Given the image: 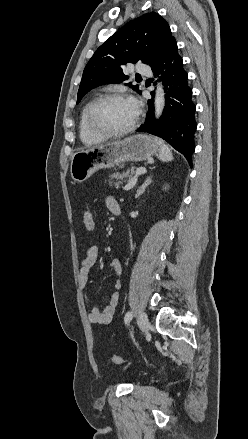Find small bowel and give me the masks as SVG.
<instances>
[{"label": "small bowel", "mask_w": 248, "mask_h": 439, "mask_svg": "<svg viewBox=\"0 0 248 439\" xmlns=\"http://www.w3.org/2000/svg\"><path fill=\"white\" fill-rule=\"evenodd\" d=\"M106 206L110 212L115 213L117 209H120L118 201L109 196L106 199ZM99 255V248L97 245H91L82 261L81 268L78 273L79 285L82 289H85L88 285L89 274L92 267L96 264ZM109 269L115 272L118 276L122 273V263L118 258H114L109 262ZM120 287V283H116V288ZM119 301V292L116 290L112 292L108 299V304L102 308L95 306L88 314L89 322L96 325H107L112 321L115 313L116 306Z\"/></svg>", "instance_id": "1"}]
</instances>
